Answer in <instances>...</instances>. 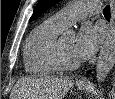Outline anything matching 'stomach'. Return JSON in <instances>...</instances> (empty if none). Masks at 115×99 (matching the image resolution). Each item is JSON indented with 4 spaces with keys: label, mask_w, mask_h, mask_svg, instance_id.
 Returning a JSON list of instances; mask_svg holds the SVG:
<instances>
[{
    "label": "stomach",
    "mask_w": 115,
    "mask_h": 99,
    "mask_svg": "<svg viewBox=\"0 0 115 99\" xmlns=\"http://www.w3.org/2000/svg\"><path fill=\"white\" fill-rule=\"evenodd\" d=\"M85 87H86L85 85H79L78 86V88L81 89V90L85 89Z\"/></svg>",
    "instance_id": "0dacf381"
}]
</instances>
